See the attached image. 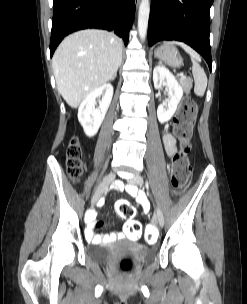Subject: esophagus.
Returning a JSON list of instances; mask_svg holds the SVG:
<instances>
[{
	"instance_id": "1",
	"label": "esophagus",
	"mask_w": 247,
	"mask_h": 304,
	"mask_svg": "<svg viewBox=\"0 0 247 304\" xmlns=\"http://www.w3.org/2000/svg\"><path fill=\"white\" fill-rule=\"evenodd\" d=\"M136 3L139 4V3H140V0H136Z\"/></svg>"
}]
</instances>
